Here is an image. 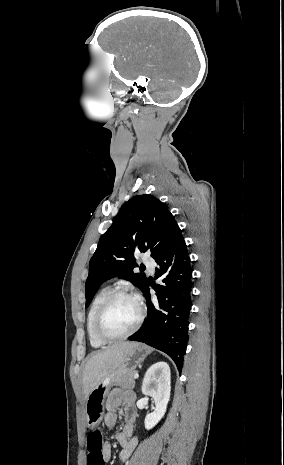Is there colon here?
I'll return each mask as SVG.
<instances>
[{"instance_id": "1", "label": "colon", "mask_w": 284, "mask_h": 465, "mask_svg": "<svg viewBox=\"0 0 284 465\" xmlns=\"http://www.w3.org/2000/svg\"><path fill=\"white\" fill-rule=\"evenodd\" d=\"M90 435L91 437L87 445L89 452L87 463L88 465H104L101 453L103 441L99 439L102 437L103 432L101 429H92Z\"/></svg>"}]
</instances>
